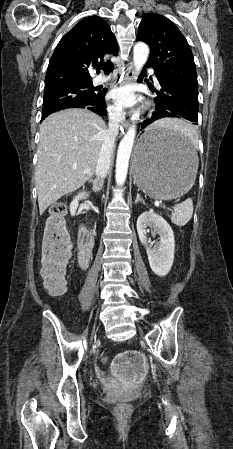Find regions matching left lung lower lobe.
Segmentation results:
<instances>
[{
	"label": "left lung lower lobe",
	"mask_w": 233,
	"mask_h": 449,
	"mask_svg": "<svg viewBox=\"0 0 233 449\" xmlns=\"http://www.w3.org/2000/svg\"><path fill=\"white\" fill-rule=\"evenodd\" d=\"M143 74L146 75V71ZM155 76L161 86L160 91L155 90L157 93L155 98L156 110L151 118L143 121L141 130L165 117H177L196 123L198 121V95L181 88L156 72ZM156 139L163 141L181 140L179 136L174 134L158 135Z\"/></svg>",
	"instance_id": "0a47b994"
}]
</instances>
